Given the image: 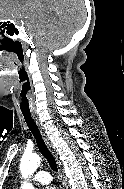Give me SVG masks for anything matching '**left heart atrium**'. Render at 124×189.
<instances>
[{
  "mask_svg": "<svg viewBox=\"0 0 124 189\" xmlns=\"http://www.w3.org/2000/svg\"><path fill=\"white\" fill-rule=\"evenodd\" d=\"M47 189H55V188H47Z\"/></svg>",
  "mask_w": 124,
  "mask_h": 189,
  "instance_id": "left-heart-atrium-1",
  "label": "left heart atrium"
}]
</instances>
